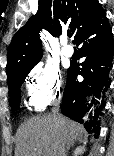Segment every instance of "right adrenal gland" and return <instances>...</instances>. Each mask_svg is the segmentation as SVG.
I'll list each match as a JSON object with an SVG mask.
<instances>
[{"instance_id": "right-adrenal-gland-1", "label": "right adrenal gland", "mask_w": 114, "mask_h": 156, "mask_svg": "<svg viewBox=\"0 0 114 156\" xmlns=\"http://www.w3.org/2000/svg\"><path fill=\"white\" fill-rule=\"evenodd\" d=\"M76 141L83 142V139H82V138H78L77 140H75V142H76ZM75 142H73L72 144H70V145L67 147L66 153H68V151L70 150V148L73 147V145L75 144Z\"/></svg>"}]
</instances>
